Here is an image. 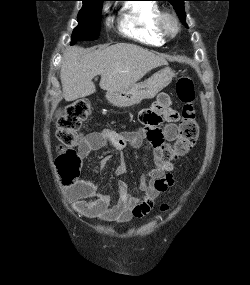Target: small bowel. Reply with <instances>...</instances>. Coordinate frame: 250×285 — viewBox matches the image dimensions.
Segmentation results:
<instances>
[{
  "label": "small bowel",
  "mask_w": 250,
  "mask_h": 285,
  "mask_svg": "<svg viewBox=\"0 0 250 285\" xmlns=\"http://www.w3.org/2000/svg\"><path fill=\"white\" fill-rule=\"evenodd\" d=\"M168 103V97L161 95L152 108L143 110L140 120L144 126L140 129L124 132L104 129L89 133L80 143V155L87 157L109 143L121 153L115 172L118 174L125 172L127 165L122 152L127 146L139 148L144 141H147L150 147H163L166 142L178 138L180 129L175 123L177 114L174 111L165 112L168 124L164 129L159 127ZM108 160L109 157L103 158L98 168L102 170ZM173 172L172 161L155 157L153 167L141 177L142 196H133L128 191L127 184L119 182L117 185L119 197L115 203H112L109 195L100 193L98 186L89 180H79L67 185L65 192L69 198L73 199L75 210L82 216L110 222H125L133 217L142 218L151 212L156 198L173 185Z\"/></svg>",
  "instance_id": "obj_1"
}]
</instances>
